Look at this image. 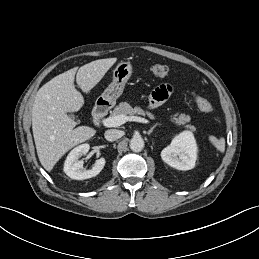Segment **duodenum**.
I'll return each mask as SVG.
<instances>
[{
    "label": "duodenum",
    "instance_id": "1",
    "mask_svg": "<svg viewBox=\"0 0 259 259\" xmlns=\"http://www.w3.org/2000/svg\"><path fill=\"white\" fill-rule=\"evenodd\" d=\"M108 107L106 105H97L93 110V119L96 123H99L106 115Z\"/></svg>",
    "mask_w": 259,
    "mask_h": 259
}]
</instances>
